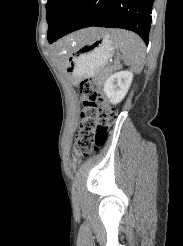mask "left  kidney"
<instances>
[{
	"mask_svg": "<svg viewBox=\"0 0 183 246\" xmlns=\"http://www.w3.org/2000/svg\"><path fill=\"white\" fill-rule=\"evenodd\" d=\"M133 80L131 71H120L110 75L104 83V93L112 104L120 103L126 96Z\"/></svg>",
	"mask_w": 183,
	"mask_h": 246,
	"instance_id": "5707ae66",
	"label": "left kidney"
}]
</instances>
